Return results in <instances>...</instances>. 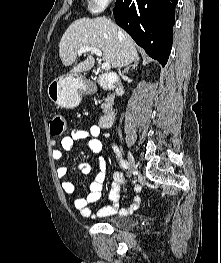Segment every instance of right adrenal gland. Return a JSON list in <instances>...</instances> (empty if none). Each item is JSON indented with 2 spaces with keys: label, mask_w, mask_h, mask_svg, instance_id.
I'll use <instances>...</instances> for the list:
<instances>
[{
  "label": "right adrenal gland",
  "mask_w": 221,
  "mask_h": 263,
  "mask_svg": "<svg viewBox=\"0 0 221 263\" xmlns=\"http://www.w3.org/2000/svg\"><path fill=\"white\" fill-rule=\"evenodd\" d=\"M138 66V61L133 62L131 65H128L123 70V74L127 73L130 69H136Z\"/></svg>",
  "instance_id": "1"
}]
</instances>
